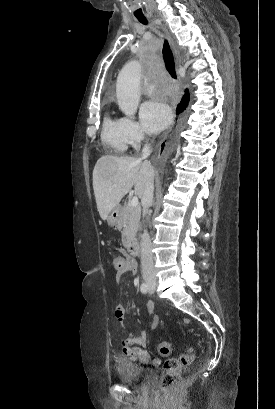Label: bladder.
Instances as JSON below:
<instances>
[{"label":"bladder","mask_w":275,"mask_h":409,"mask_svg":"<svg viewBox=\"0 0 275 409\" xmlns=\"http://www.w3.org/2000/svg\"><path fill=\"white\" fill-rule=\"evenodd\" d=\"M116 379L123 384H130L137 389L148 386L156 379L151 368H144L136 362L120 361L116 365Z\"/></svg>","instance_id":"1"}]
</instances>
